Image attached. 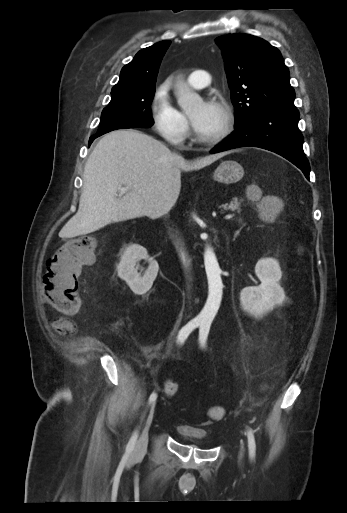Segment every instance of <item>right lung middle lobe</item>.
Listing matches in <instances>:
<instances>
[{
  "instance_id": "1",
  "label": "right lung middle lobe",
  "mask_w": 347,
  "mask_h": 513,
  "mask_svg": "<svg viewBox=\"0 0 347 513\" xmlns=\"http://www.w3.org/2000/svg\"><path fill=\"white\" fill-rule=\"evenodd\" d=\"M155 92L152 88H126L111 92L110 103L101 114L96 134L122 128H149L154 124L150 104Z\"/></svg>"
}]
</instances>
